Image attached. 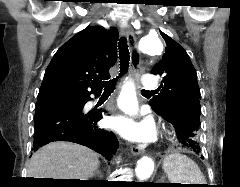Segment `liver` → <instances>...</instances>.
<instances>
[{
	"label": "liver",
	"instance_id": "obj_1",
	"mask_svg": "<svg viewBox=\"0 0 240 187\" xmlns=\"http://www.w3.org/2000/svg\"><path fill=\"white\" fill-rule=\"evenodd\" d=\"M98 155L89 148L71 142H52L31 157L28 178L88 180L98 169Z\"/></svg>",
	"mask_w": 240,
	"mask_h": 187
}]
</instances>
